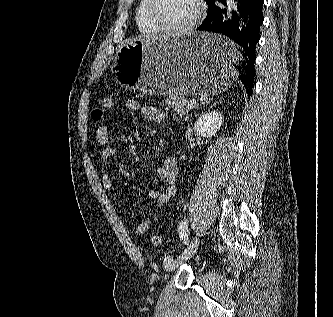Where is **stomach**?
Returning <instances> with one entry per match:
<instances>
[{
    "instance_id": "0dacf381",
    "label": "stomach",
    "mask_w": 333,
    "mask_h": 317,
    "mask_svg": "<svg viewBox=\"0 0 333 317\" xmlns=\"http://www.w3.org/2000/svg\"><path fill=\"white\" fill-rule=\"evenodd\" d=\"M228 33L193 32L133 39L116 53L119 83L145 95H218L235 88L229 62H242Z\"/></svg>"
}]
</instances>
